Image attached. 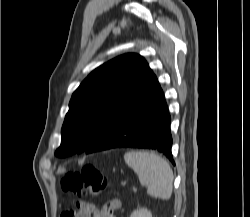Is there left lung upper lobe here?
<instances>
[{
	"instance_id": "5c2ea615",
	"label": "left lung upper lobe",
	"mask_w": 250,
	"mask_h": 217,
	"mask_svg": "<svg viewBox=\"0 0 250 217\" xmlns=\"http://www.w3.org/2000/svg\"><path fill=\"white\" fill-rule=\"evenodd\" d=\"M151 72L138 54H124L91 72L73 93L56 155L66 157L91 147Z\"/></svg>"
}]
</instances>
